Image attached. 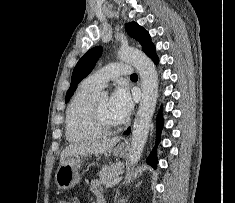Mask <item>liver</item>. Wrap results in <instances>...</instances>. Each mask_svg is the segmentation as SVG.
I'll return each instance as SVG.
<instances>
[{"mask_svg":"<svg viewBox=\"0 0 235 203\" xmlns=\"http://www.w3.org/2000/svg\"><path fill=\"white\" fill-rule=\"evenodd\" d=\"M119 140V137H115L111 139L85 142L81 144H71L61 152L60 164H62L64 160L69 157L89 156L92 154L99 155L107 153L119 142Z\"/></svg>","mask_w":235,"mask_h":203,"instance_id":"obj_1","label":"liver"}]
</instances>
